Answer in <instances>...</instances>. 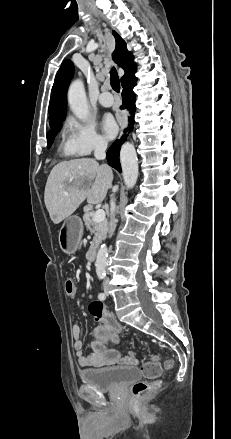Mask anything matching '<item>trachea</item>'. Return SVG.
<instances>
[{
  "label": "trachea",
  "mask_w": 231,
  "mask_h": 439,
  "mask_svg": "<svg viewBox=\"0 0 231 439\" xmlns=\"http://www.w3.org/2000/svg\"><path fill=\"white\" fill-rule=\"evenodd\" d=\"M110 84L111 87L114 91H116L117 93H119L120 91V81H119V77L117 74L116 69L113 67L110 71Z\"/></svg>",
  "instance_id": "3493384b"
}]
</instances>
